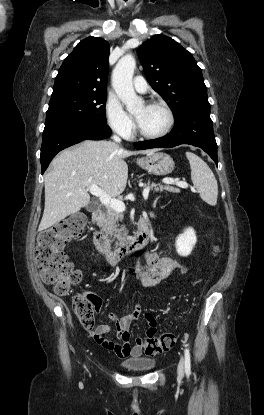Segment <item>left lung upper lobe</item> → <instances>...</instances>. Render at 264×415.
I'll return each instance as SVG.
<instances>
[{
	"mask_svg": "<svg viewBox=\"0 0 264 415\" xmlns=\"http://www.w3.org/2000/svg\"><path fill=\"white\" fill-rule=\"evenodd\" d=\"M137 52L149 84L168 102L175 121L188 111L210 109L201 69L175 40L158 34Z\"/></svg>",
	"mask_w": 264,
	"mask_h": 415,
	"instance_id": "obj_1",
	"label": "left lung upper lobe"
}]
</instances>
